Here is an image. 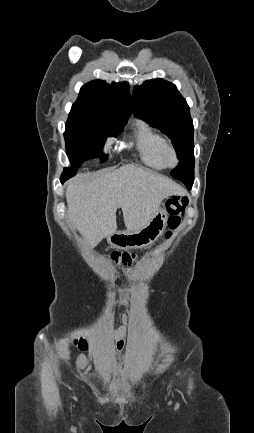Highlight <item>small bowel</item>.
<instances>
[{
    "label": "small bowel",
    "mask_w": 254,
    "mask_h": 433,
    "mask_svg": "<svg viewBox=\"0 0 254 433\" xmlns=\"http://www.w3.org/2000/svg\"><path fill=\"white\" fill-rule=\"evenodd\" d=\"M130 322H131V319H129L127 316L123 317V325H121L118 328V333L120 335H123L125 333V331H126V325L128 323H130ZM123 345H124V341L122 339H119V341L117 343V348L119 350H121L123 348ZM77 366H78L79 369H85L86 368V366H87V359H86V357L84 355H79L77 357Z\"/></svg>",
    "instance_id": "1"
}]
</instances>
